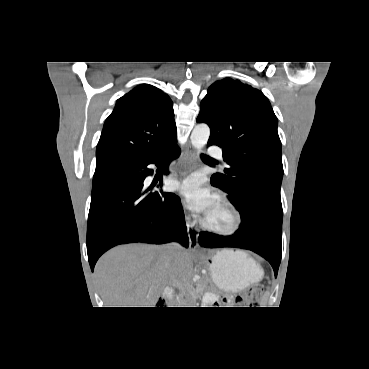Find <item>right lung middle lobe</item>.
<instances>
[{"label":"right lung middle lobe","instance_id":"right-lung-middle-lobe-1","mask_svg":"<svg viewBox=\"0 0 369 369\" xmlns=\"http://www.w3.org/2000/svg\"><path fill=\"white\" fill-rule=\"evenodd\" d=\"M122 162H111V163H102L96 164V170L93 177V183L100 179L103 175L109 173L114 168H116Z\"/></svg>","mask_w":369,"mask_h":369}]
</instances>
